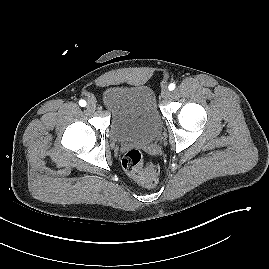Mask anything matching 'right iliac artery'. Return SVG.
I'll use <instances>...</instances> for the list:
<instances>
[{"label":"right iliac artery","mask_w":269,"mask_h":269,"mask_svg":"<svg viewBox=\"0 0 269 269\" xmlns=\"http://www.w3.org/2000/svg\"><path fill=\"white\" fill-rule=\"evenodd\" d=\"M79 105L82 106V107L86 106V101L85 100H80Z\"/></svg>","instance_id":"right-iliac-artery-1"}]
</instances>
